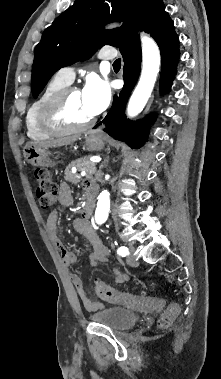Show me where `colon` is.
Segmentation results:
<instances>
[{
  "label": "colon",
  "mask_w": 221,
  "mask_h": 379,
  "mask_svg": "<svg viewBox=\"0 0 221 379\" xmlns=\"http://www.w3.org/2000/svg\"><path fill=\"white\" fill-rule=\"evenodd\" d=\"M37 181L36 194L40 207L44 210L50 209L57 201V185L50 172L44 168H37L35 171ZM97 296L106 302L121 304L129 308L143 312H161L158 319V326L161 329H168L172 326L178 315L179 308L176 304H171L164 308V300L147 293L132 295L114 290L102 281L95 282Z\"/></svg>",
  "instance_id": "obj_1"
}]
</instances>
